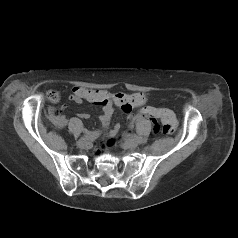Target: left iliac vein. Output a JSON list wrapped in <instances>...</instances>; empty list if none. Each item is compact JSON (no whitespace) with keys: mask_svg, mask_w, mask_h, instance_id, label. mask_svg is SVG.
Returning a JSON list of instances; mask_svg holds the SVG:
<instances>
[{"mask_svg":"<svg viewBox=\"0 0 238 238\" xmlns=\"http://www.w3.org/2000/svg\"><path fill=\"white\" fill-rule=\"evenodd\" d=\"M122 145L125 149H133V148L137 147L138 142L136 140L129 139V140L124 141V143Z\"/></svg>","mask_w":238,"mask_h":238,"instance_id":"obj_1","label":"left iliac vein"}]
</instances>
